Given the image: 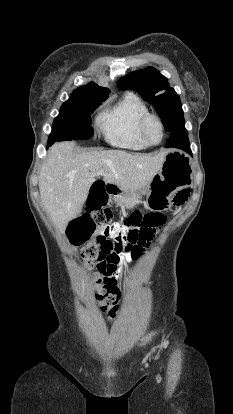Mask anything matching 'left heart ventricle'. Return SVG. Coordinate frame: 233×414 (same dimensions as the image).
<instances>
[{
	"instance_id": "left-heart-ventricle-1",
	"label": "left heart ventricle",
	"mask_w": 233,
	"mask_h": 414,
	"mask_svg": "<svg viewBox=\"0 0 233 414\" xmlns=\"http://www.w3.org/2000/svg\"><path fill=\"white\" fill-rule=\"evenodd\" d=\"M148 135L153 142H157L160 139L161 132L158 124L155 121H151L148 124Z\"/></svg>"
}]
</instances>
